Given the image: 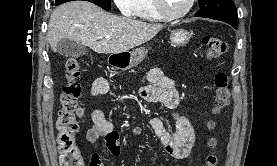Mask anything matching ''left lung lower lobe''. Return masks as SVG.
<instances>
[{
  "instance_id": "0a47b994",
  "label": "left lung lower lobe",
  "mask_w": 277,
  "mask_h": 166,
  "mask_svg": "<svg viewBox=\"0 0 277 166\" xmlns=\"http://www.w3.org/2000/svg\"><path fill=\"white\" fill-rule=\"evenodd\" d=\"M230 25H231V24H230ZM232 26H233L234 28H236V27H237V25H233V24H232Z\"/></svg>"
}]
</instances>
